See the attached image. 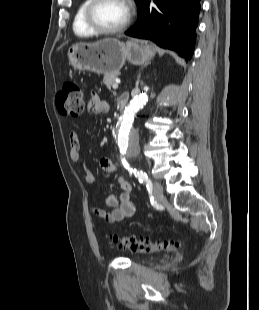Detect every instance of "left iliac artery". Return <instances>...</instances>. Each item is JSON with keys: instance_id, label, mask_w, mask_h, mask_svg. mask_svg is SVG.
Wrapping results in <instances>:
<instances>
[{"instance_id": "1", "label": "left iliac artery", "mask_w": 259, "mask_h": 310, "mask_svg": "<svg viewBox=\"0 0 259 310\" xmlns=\"http://www.w3.org/2000/svg\"><path fill=\"white\" fill-rule=\"evenodd\" d=\"M124 167L132 174L138 178L140 183H146L147 187H152L151 181L148 179L147 174L142 170H136L135 168H131L127 162H123Z\"/></svg>"}]
</instances>
